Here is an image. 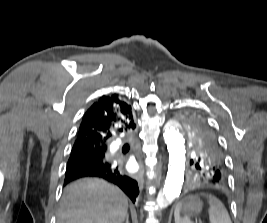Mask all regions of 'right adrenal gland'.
I'll list each match as a JSON object with an SVG mask.
<instances>
[{"mask_svg": "<svg viewBox=\"0 0 267 223\" xmlns=\"http://www.w3.org/2000/svg\"><path fill=\"white\" fill-rule=\"evenodd\" d=\"M125 223H129V215L127 214V216H126V221H125Z\"/></svg>", "mask_w": 267, "mask_h": 223, "instance_id": "2a0ac1e0", "label": "right adrenal gland"}]
</instances>
